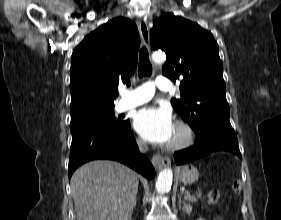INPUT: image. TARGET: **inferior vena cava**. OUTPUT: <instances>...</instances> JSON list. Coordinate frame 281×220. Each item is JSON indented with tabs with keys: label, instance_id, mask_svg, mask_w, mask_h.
I'll return each instance as SVG.
<instances>
[{
	"label": "inferior vena cava",
	"instance_id": "obj_1",
	"mask_svg": "<svg viewBox=\"0 0 281 220\" xmlns=\"http://www.w3.org/2000/svg\"><path fill=\"white\" fill-rule=\"evenodd\" d=\"M138 146H139V150H140L142 153H145V152L148 151V146H147V144H146L144 141L139 140V141H138Z\"/></svg>",
	"mask_w": 281,
	"mask_h": 220
}]
</instances>
